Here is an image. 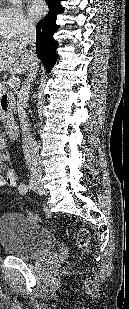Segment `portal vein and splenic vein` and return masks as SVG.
I'll return each instance as SVG.
<instances>
[{
	"label": "portal vein and splenic vein",
	"instance_id": "obj_1",
	"mask_svg": "<svg viewBox=\"0 0 129 309\" xmlns=\"http://www.w3.org/2000/svg\"><path fill=\"white\" fill-rule=\"evenodd\" d=\"M7 85L9 87L15 88V87L19 86V80L16 77H11V78L8 79Z\"/></svg>",
	"mask_w": 129,
	"mask_h": 309
}]
</instances>
